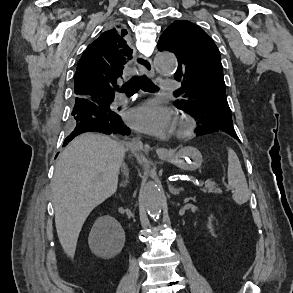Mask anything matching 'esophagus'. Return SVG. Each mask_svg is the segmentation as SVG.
I'll list each match as a JSON object with an SVG mask.
<instances>
[{
  "label": "esophagus",
  "mask_w": 293,
  "mask_h": 293,
  "mask_svg": "<svg viewBox=\"0 0 293 293\" xmlns=\"http://www.w3.org/2000/svg\"><path fill=\"white\" fill-rule=\"evenodd\" d=\"M135 63L137 64V66L143 73H146L148 76H151V77L154 76L155 74L154 67L150 58L145 57L143 55H137L135 57ZM156 153L160 157H165L170 155V151L164 147L157 148Z\"/></svg>",
  "instance_id": "34e87169"
}]
</instances>
